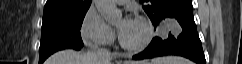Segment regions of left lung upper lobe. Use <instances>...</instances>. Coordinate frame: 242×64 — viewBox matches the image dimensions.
Returning <instances> with one entry per match:
<instances>
[{
	"label": "left lung upper lobe",
	"mask_w": 242,
	"mask_h": 64,
	"mask_svg": "<svg viewBox=\"0 0 242 64\" xmlns=\"http://www.w3.org/2000/svg\"><path fill=\"white\" fill-rule=\"evenodd\" d=\"M191 2V0H140V3L144 4V11L153 24L160 20L169 10Z\"/></svg>",
	"instance_id": "1"
}]
</instances>
